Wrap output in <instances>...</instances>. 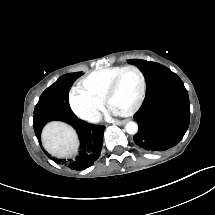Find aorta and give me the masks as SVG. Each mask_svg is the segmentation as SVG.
<instances>
[{
	"instance_id": "obj_1",
	"label": "aorta",
	"mask_w": 215,
	"mask_h": 215,
	"mask_svg": "<svg viewBox=\"0 0 215 215\" xmlns=\"http://www.w3.org/2000/svg\"><path fill=\"white\" fill-rule=\"evenodd\" d=\"M138 126L134 121H129L125 124V130L129 134H135L137 132Z\"/></svg>"
}]
</instances>
